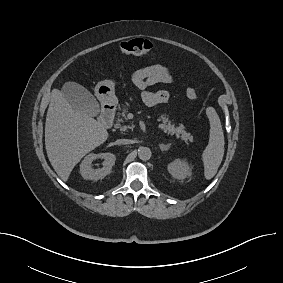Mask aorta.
Wrapping results in <instances>:
<instances>
[{"instance_id": "aorta-1", "label": "aorta", "mask_w": 283, "mask_h": 283, "mask_svg": "<svg viewBox=\"0 0 283 283\" xmlns=\"http://www.w3.org/2000/svg\"><path fill=\"white\" fill-rule=\"evenodd\" d=\"M152 152L148 147H141L138 150V156L141 160L146 161L151 158Z\"/></svg>"}]
</instances>
